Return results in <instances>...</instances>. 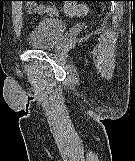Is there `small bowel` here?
<instances>
[{
	"label": "small bowel",
	"mask_w": 135,
	"mask_h": 161,
	"mask_svg": "<svg viewBox=\"0 0 135 161\" xmlns=\"http://www.w3.org/2000/svg\"><path fill=\"white\" fill-rule=\"evenodd\" d=\"M47 11L48 12H51V13H54L55 12V9L54 8H47Z\"/></svg>",
	"instance_id": "c3829d8e"
}]
</instances>
